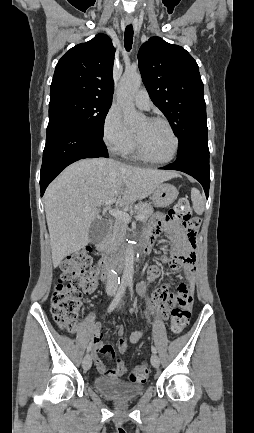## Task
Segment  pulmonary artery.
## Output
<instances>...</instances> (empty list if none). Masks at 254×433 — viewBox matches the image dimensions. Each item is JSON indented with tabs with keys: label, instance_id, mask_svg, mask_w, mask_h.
<instances>
[{
	"label": "pulmonary artery",
	"instance_id": "1",
	"mask_svg": "<svg viewBox=\"0 0 254 433\" xmlns=\"http://www.w3.org/2000/svg\"><path fill=\"white\" fill-rule=\"evenodd\" d=\"M134 104L142 110L150 109L152 103L148 92L145 89H140L136 92L134 96Z\"/></svg>",
	"mask_w": 254,
	"mask_h": 433
}]
</instances>
